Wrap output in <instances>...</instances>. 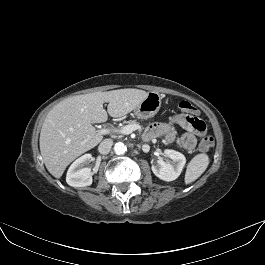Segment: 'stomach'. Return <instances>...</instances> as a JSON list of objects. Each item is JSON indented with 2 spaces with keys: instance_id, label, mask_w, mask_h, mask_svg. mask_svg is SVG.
<instances>
[{
  "instance_id": "0dacf381",
  "label": "stomach",
  "mask_w": 265,
  "mask_h": 265,
  "mask_svg": "<svg viewBox=\"0 0 265 265\" xmlns=\"http://www.w3.org/2000/svg\"><path fill=\"white\" fill-rule=\"evenodd\" d=\"M162 97L157 92L148 93L147 97L134 109L137 118L148 119L157 114L161 107Z\"/></svg>"
}]
</instances>
